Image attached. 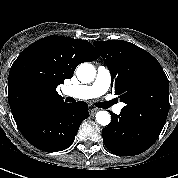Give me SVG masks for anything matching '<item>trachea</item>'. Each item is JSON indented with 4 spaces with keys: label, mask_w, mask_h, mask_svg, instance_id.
<instances>
[{
    "label": "trachea",
    "mask_w": 178,
    "mask_h": 178,
    "mask_svg": "<svg viewBox=\"0 0 178 178\" xmlns=\"http://www.w3.org/2000/svg\"><path fill=\"white\" fill-rule=\"evenodd\" d=\"M113 102L110 101V102H100V103H97L96 106L99 107V108H108L109 105H111Z\"/></svg>",
    "instance_id": "obj_1"
}]
</instances>
